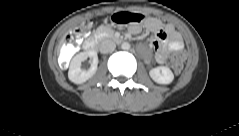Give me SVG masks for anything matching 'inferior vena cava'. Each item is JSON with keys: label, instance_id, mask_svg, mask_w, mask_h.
Masks as SVG:
<instances>
[{"label": "inferior vena cava", "instance_id": "602c4592", "mask_svg": "<svg viewBox=\"0 0 239 136\" xmlns=\"http://www.w3.org/2000/svg\"><path fill=\"white\" fill-rule=\"evenodd\" d=\"M116 48V44L111 39H105L99 44V51L101 53L113 52Z\"/></svg>", "mask_w": 239, "mask_h": 136}]
</instances>
